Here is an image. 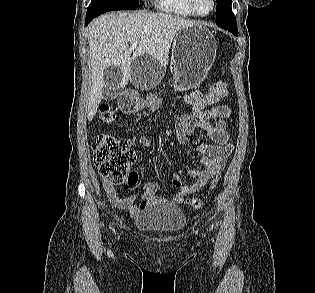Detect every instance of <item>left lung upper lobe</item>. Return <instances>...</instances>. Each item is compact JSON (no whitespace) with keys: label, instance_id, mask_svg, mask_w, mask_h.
Segmentation results:
<instances>
[{"label":"left lung upper lobe","instance_id":"obj_1","mask_svg":"<svg viewBox=\"0 0 315 293\" xmlns=\"http://www.w3.org/2000/svg\"><path fill=\"white\" fill-rule=\"evenodd\" d=\"M216 24L217 26L232 32L238 36L235 15L232 13L231 0H216Z\"/></svg>","mask_w":315,"mask_h":293}]
</instances>
